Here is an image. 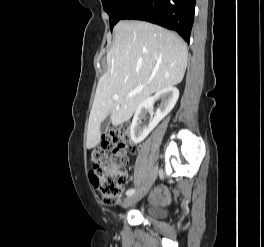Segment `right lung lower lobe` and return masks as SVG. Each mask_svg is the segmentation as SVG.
Wrapping results in <instances>:
<instances>
[{
  "label": "right lung lower lobe",
  "mask_w": 264,
  "mask_h": 247,
  "mask_svg": "<svg viewBox=\"0 0 264 247\" xmlns=\"http://www.w3.org/2000/svg\"><path fill=\"white\" fill-rule=\"evenodd\" d=\"M196 0H133L121 19L158 24L190 40Z\"/></svg>",
  "instance_id": "1"
}]
</instances>
